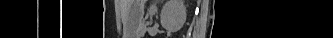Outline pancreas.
Returning <instances> with one entry per match:
<instances>
[{"instance_id":"pancreas-1","label":"pancreas","mask_w":333,"mask_h":38,"mask_svg":"<svg viewBox=\"0 0 333 38\" xmlns=\"http://www.w3.org/2000/svg\"><path fill=\"white\" fill-rule=\"evenodd\" d=\"M146 30H147L146 25H143V27H142V32L145 33Z\"/></svg>"}]
</instances>
